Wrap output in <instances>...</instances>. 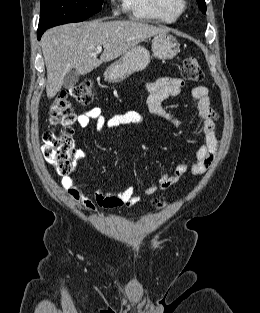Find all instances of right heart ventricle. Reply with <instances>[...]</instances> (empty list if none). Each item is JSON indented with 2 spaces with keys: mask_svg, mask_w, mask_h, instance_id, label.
Instances as JSON below:
<instances>
[{
  "mask_svg": "<svg viewBox=\"0 0 260 313\" xmlns=\"http://www.w3.org/2000/svg\"><path fill=\"white\" fill-rule=\"evenodd\" d=\"M124 9L135 20L173 23L180 13L171 0H122Z\"/></svg>",
  "mask_w": 260,
  "mask_h": 313,
  "instance_id": "right-heart-ventricle-1",
  "label": "right heart ventricle"
}]
</instances>
